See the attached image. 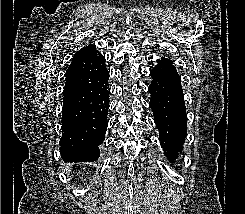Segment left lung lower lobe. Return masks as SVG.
Listing matches in <instances>:
<instances>
[{
	"label": "left lung lower lobe",
	"instance_id": "0a47b994",
	"mask_svg": "<svg viewBox=\"0 0 245 214\" xmlns=\"http://www.w3.org/2000/svg\"><path fill=\"white\" fill-rule=\"evenodd\" d=\"M152 83L148 87L151 94L150 108L159 130L161 146L171 160L182 151L187 133V116L181 78L176 68L159 64L151 71Z\"/></svg>",
	"mask_w": 245,
	"mask_h": 214
}]
</instances>
